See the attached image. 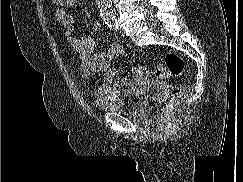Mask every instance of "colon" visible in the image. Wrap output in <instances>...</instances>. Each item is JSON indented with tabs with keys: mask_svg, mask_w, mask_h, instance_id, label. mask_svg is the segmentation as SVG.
<instances>
[{
	"mask_svg": "<svg viewBox=\"0 0 243 182\" xmlns=\"http://www.w3.org/2000/svg\"><path fill=\"white\" fill-rule=\"evenodd\" d=\"M53 2L56 5L62 6L68 4L69 0H53ZM184 68L183 58L177 53L169 52L165 55L163 63L159 64L155 71L145 66H136L130 70V73L134 78L145 81L153 75L159 77L179 76L183 73ZM183 89L184 87L182 85H177L158 94V111L161 118L169 114L175 101L182 95Z\"/></svg>",
	"mask_w": 243,
	"mask_h": 182,
	"instance_id": "obj_1",
	"label": "colon"
}]
</instances>
